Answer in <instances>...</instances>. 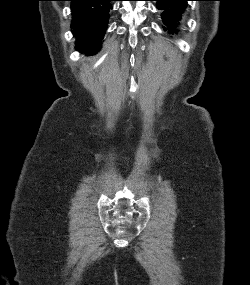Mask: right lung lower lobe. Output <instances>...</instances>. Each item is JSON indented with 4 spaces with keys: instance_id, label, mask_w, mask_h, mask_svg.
I'll return each instance as SVG.
<instances>
[{
    "instance_id": "98d812e1",
    "label": "right lung lower lobe",
    "mask_w": 250,
    "mask_h": 285,
    "mask_svg": "<svg viewBox=\"0 0 250 285\" xmlns=\"http://www.w3.org/2000/svg\"><path fill=\"white\" fill-rule=\"evenodd\" d=\"M71 1L72 33L77 38L76 48L88 55L96 53L108 25L110 2L114 0H68Z\"/></svg>"
}]
</instances>
